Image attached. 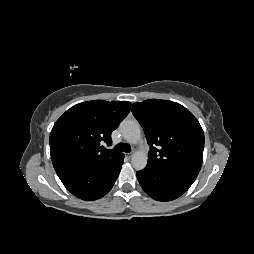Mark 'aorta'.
I'll return each instance as SVG.
<instances>
[{"label":"aorta","instance_id":"1","mask_svg":"<svg viewBox=\"0 0 254 254\" xmlns=\"http://www.w3.org/2000/svg\"><path fill=\"white\" fill-rule=\"evenodd\" d=\"M120 131L123 138L130 144H138L141 140V128L137 121L125 119L120 124ZM148 157L142 151H136L131 158L132 166L136 170L146 167Z\"/></svg>","mask_w":254,"mask_h":254}]
</instances>
